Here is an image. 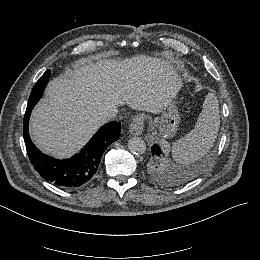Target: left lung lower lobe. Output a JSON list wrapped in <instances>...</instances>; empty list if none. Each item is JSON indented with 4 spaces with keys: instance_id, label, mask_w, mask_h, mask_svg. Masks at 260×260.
<instances>
[{
    "instance_id": "0a47b994",
    "label": "left lung lower lobe",
    "mask_w": 260,
    "mask_h": 260,
    "mask_svg": "<svg viewBox=\"0 0 260 260\" xmlns=\"http://www.w3.org/2000/svg\"><path fill=\"white\" fill-rule=\"evenodd\" d=\"M151 150H152V152H153V154L155 155V156H160V154H161V150H160V147L158 146V145H153V147L151 148Z\"/></svg>"
}]
</instances>
